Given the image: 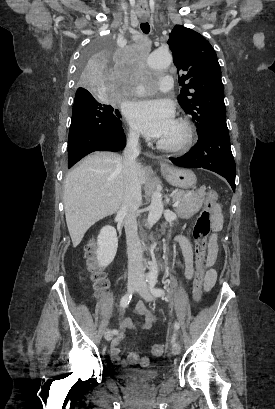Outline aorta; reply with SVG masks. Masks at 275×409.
<instances>
[{
    "label": "aorta",
    "mask_w": 275,
    "mask_h": 409,
    "mask_svg": "<svg viewBox=\"0 0 275 409\" xmlns=\"http://www.w3.org/2000/svg\"><path fill=\"white\" fill-rule=\"evenodd\" d=\"M146 60L148 65H164L168 66L172 62V56L167 51H146ZM151 205L149 207V215L147 219L148 225H154L159 221L163 213V202L160 192H153L151 196ZM158 267L156 263H152L151 269L146 277L147 281H156L158 277Z\"/></svg>",
    "instance_id": "1"
}]
</instances>
